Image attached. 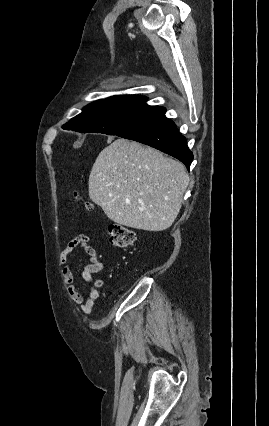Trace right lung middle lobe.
<instances>
[{"mask_svg": "<svg viewBox=\"0 0 269 426\" xmlns=\"http://www.w3.org/2000/svg\"><path fill=\"white\" fill-rule=\"evenodd\" d=\"M144 96L120 95L87 105L65 126L84 133L122 134L141 123L154 109Z\"/></svg>", "mask_w": 269, "mask_h": 426, "instance_id": "1", "label": "right lung middle lobe"}]
</instances>
